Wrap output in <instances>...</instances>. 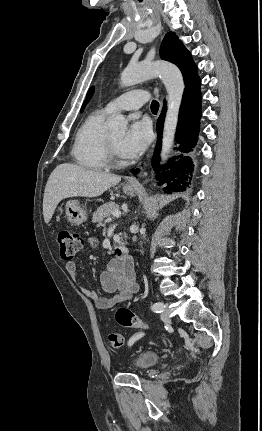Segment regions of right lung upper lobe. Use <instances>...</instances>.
Listing matches in <instances>:
<instances>
[{
	"label": "right lung upper lobe",
	"instance_id": "1",
	"mask_svg": "<svg viewBox=\"0 0 262 431\" xmlns=\"http://www.w3.org/2000/svg\"><path fill=\"white\" fill-rule=\"evenodd\" d=\"M93 92H94V88L92 87V88H90V90H89V91H88V93H87L86 101L83 103V106H82L81 112L83 111V109H84V107H85L86 103H87V102L90 100V98L92 97Z\"/></svg>",
	"mask_w": 262,
	"mask_h": 431
}]
</instances>
